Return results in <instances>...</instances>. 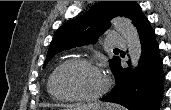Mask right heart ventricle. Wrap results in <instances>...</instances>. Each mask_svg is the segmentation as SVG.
<instances>
[{"label":"right heart ventricle","instance_id":"obj_1","mask_svg":"<svg viewBox=\"0 0 171 110\" xmlns=\"http://www.w3.org/2000/svg\"><path fill=\"white\" fill-rule=\"evenodd\" d=\"M48 90H49V92H50L51 96H52L53 98H56V97L52 94V92H51L50 84H49V83H48ZM56 99H57V98H56Z\"/></svg>","mask_w":171,"mask_h":110}]
</instances>
